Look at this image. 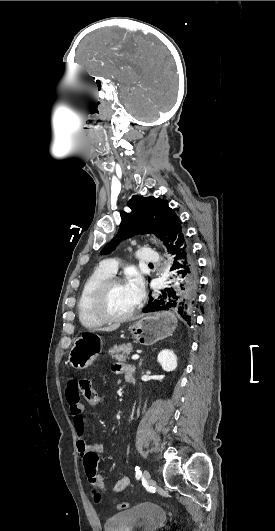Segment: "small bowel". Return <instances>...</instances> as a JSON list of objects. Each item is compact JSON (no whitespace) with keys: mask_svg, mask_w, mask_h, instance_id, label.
Wrapping results in <instances>:
<instances>
[{"mask_svg":"<svg viewBox=\"0 0 275 531\" xmlns=\"http://www.w3.org/2000/svg\"><path fill=\"white\" fill-rule=\"evenodd\" d=\"M117 372L134 373V368L130 365H115ZM69 383H65L64 392L69 404L70 413L72 417V424L77 433V449L82 458L86 476L90 482L96 485L101 492L106 493L105 479L97 473L98 456L104 452L105 446L102 443L87 444L86 443V428L84 407L80 403L78 394L81 392V376L79 373H70L68 376ZM130 484V479L127 476L121 477L114 485L115 492L125 490Z\"/></svg>","mask_w":275,"mask_h":531,"instance_id":"1","label":"small bowel"}]
</instances>
